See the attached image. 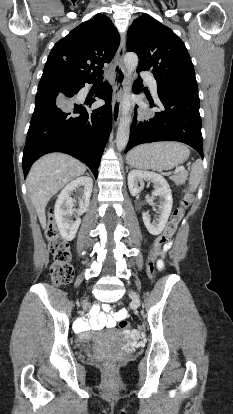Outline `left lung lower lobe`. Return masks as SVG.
<instances>
[{"mask_svg": "<svg viewBox=\"0 0 233 414\" xmlns=\"http://www.w3.org/2000/svg\"><path fill=\"white\" fill-rule=\"evenodd\" d=\"M141 86L142 79L138 77L133 84V92L139 94ZM158 96L162 103L161 110L152 119L137 123L134 117L125 153L143 143L179 141L190 145L203 158L198 88H158ZM149 101L151 106H156Z\"/></svg>", "mask_w": 233, "mask_h": 414, "instance_id": "obj_1", "label": "left lung lower lobe"}]
</instances>
